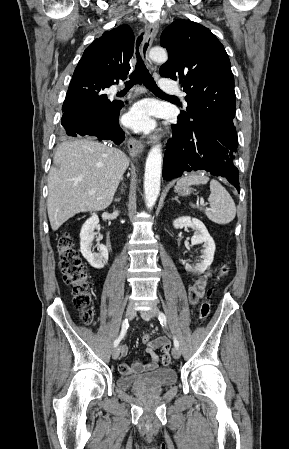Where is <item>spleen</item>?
<instances>
[{
	"label": "spleen",
	"mask_w": 289,
	"mask_h": 449,
	"mask_svg": "<svg viewBox=\"0 0 289 449\" xmlns=\"http://www.w3.org/2000/svg\"><path fill=\"white\" fill-rule=\"evenodd\" d=\"M209 181V177L204 173L188 174L178 180V186L204 185ZM210 195L208 201L210 208L204 210L206 216L217 224H228L236 215L235 203L228 191L215 179L210 181ZM200 210L202 207L191 205Z\"/></svg>",
	"instance_id": "obj_1"
}]
</instances>
